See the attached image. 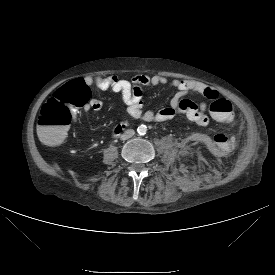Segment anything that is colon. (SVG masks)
<instances>
[{
	"instance_id": "1",
	"label": "colon",
	"mask_w": 275,
	"mask_h": 275,
	"mask_svg": "<svg viewBox=\"0 0 275 275\" xmlns=\"http://www.w3.org/2000/svg\"><path fill=\"white\" fill-rule=\"evenodd\" d=\"M207 96L211 101L210 111L217 120L226 122L233 119L234 108L228 99L219 95ZM88 102L89 88L82 80H73L58 88L40 110L37 129L41 141L47 145L62 142L67 136L73 112Z\"/></svg>"
}]
</instances>
